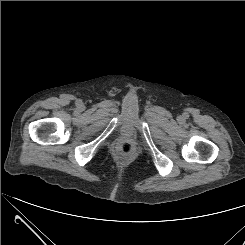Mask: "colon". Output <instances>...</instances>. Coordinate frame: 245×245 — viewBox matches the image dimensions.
Instances as JSON below:
<instances>
[{
    "label": "colon",
    "mask_w": 245,
    "mask_h": 245,
    "mask_svg": "<svg viewBox=\"0 0 245 245\" xmlns=\"http://www.w3.org/2000/svg\"><path fill=\"white\" fill-rule=\"evenodd\" d=\"M125 152H129L131 150V146L129 144H124L123 146Z\"/></svg>",
    "instance_id": "colon-1"
}]
</instances>
